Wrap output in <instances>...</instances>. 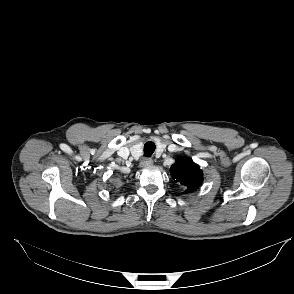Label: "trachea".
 <instances>
[{
  "instance_id": "trachea-1",
  "label": "trachea",
  "mask_w": 294,
  "mask_h": 294,
  "mask_svg": "<svg viewBox=\"0 0 294 294\" xmlns=\"http://www.w3.org/2000/svg\"><path fill=\"white\" fill-rule=\"evenodd\" d=\"M155 151V144L151 141L144 145V156L150 157Z\"/></svg>"
}]
</instances>
